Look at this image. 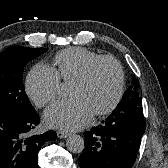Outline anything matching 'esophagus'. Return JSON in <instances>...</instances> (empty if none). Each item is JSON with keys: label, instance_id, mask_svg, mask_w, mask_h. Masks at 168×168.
<instances>
[{"label": "esophagus", "instance_id": "1", "mask_svg": "<svg viewBox=\"0 0 168 168\" xmlns=\"http://www.w3.org/2000/svg\"><path fill=\"white\" fill-rule=\"evenodd\" d=\"M70 134L68 132H65V131H58L57 132V136L58 138L60 139H64V138H67Z\"/></svg>", "mask_w": 168, "mask_h": 168}]
</instances>
